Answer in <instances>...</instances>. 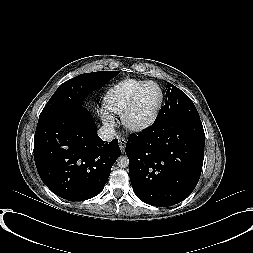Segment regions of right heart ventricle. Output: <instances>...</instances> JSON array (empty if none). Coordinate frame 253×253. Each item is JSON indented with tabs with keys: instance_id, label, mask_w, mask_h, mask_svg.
<instances>
[{
	"instance_id": "right-heart-ventricle-1",
	"label": "right heart ventricle",
	"mask_w": 253,
	"mask_h": 253,
	"mask_svg": "<svg viewBox=\"0 0 253 253\" xmlns=\"http://www.w3.org/2000/svg\"><path fill=\"white\" fill-rule=\"evenodd\" d=\"M144 80L126 78L113 84L105 93L103 105L106 111L122 114L134 91Z\"/></svg>"
}]
</instances>
